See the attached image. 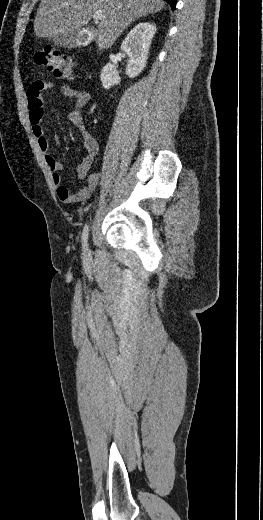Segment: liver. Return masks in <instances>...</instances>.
<instances>
[{"label":"liver","instance_id":"1","mask_svg":"<svg viewBox=\"0 0 263 520\" xmlns=\"http://www.w3.org/2000/svg\"><path fill=\"white\" fill-rule=\"evenodd\" d=\"M163 0H41L34 20L39 38L82 29L95 12H102L96 31L99 49L109 48L133 21L164 8Z\"/></svg>","mask_w":263,"mask_h":520}]
</instances>
